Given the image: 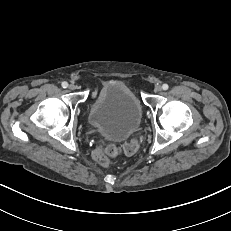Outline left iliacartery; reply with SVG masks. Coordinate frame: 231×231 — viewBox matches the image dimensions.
Wrapping results in <instances>:
<instances>
[{
  "mask_svg": "<svg viewBox=\"0 0 231 231\" xmlns=\"http://www.w3.org/2000/svg\"><path fill=\"white\" fill-rule=\"evenodd\" d=\"M168 88H169L168 84H163V85H162V89H163V90H167Z\"/></svg>",
  "mask_w": 231,
  "mask_h": 231,
  "instance_id": "left-iliac-artery-1",
  "label": "left iliac artery"
}]
</instances>
